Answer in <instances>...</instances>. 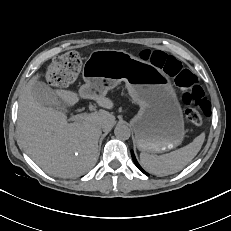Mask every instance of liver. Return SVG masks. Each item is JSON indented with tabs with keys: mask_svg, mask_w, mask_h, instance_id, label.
<instances>
[{
	"mask_svg": "<svg viewBox=\"0 0 231 231\" xmlns=\"http://www.w3.org/2000/svg\"><path fill=\"white\" fill-rule=\"evenodd\" d=\"M38 75L25 86L19 99L18 130L22 145L31 159L47 173L72 178L88 172L97 162L101 129L110 130L115 116L106 111L86 113L83 120L69 123L64 112L39 103L32 94ZM64 106L72 107L79 94L57 89ZM105 109H112V100L105 95L83 94Z\"/></svg>",
	"mask_w": 231,
	"mask_h": 231,
	"instance_id": "6515ba94",
	"label": "liver"
}]
</instances>
